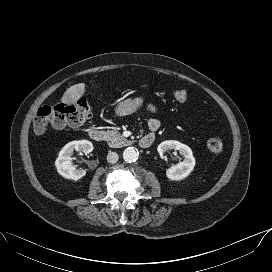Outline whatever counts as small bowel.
<instances>
[{
	"label": "small bowel",
	"instance_id": "c3829d8e",
	"mask_svg": "<svg viewBox=\"0 0 272 272\" xmlns=\"http://www.w3.org/2000/svg\"><path fill=\"white\" fill-rule=\"evenodd\" d=\"M148 110H149L151 113L154 114V113H156L157 108H156L155 105L150 104V105L148 106ZM160 125H161V123H160V120H159V119H157V118H155V117L150 118L149 121H148V128H149V130H150V133H149V134L154 135V133L160 128Z\"/></svg>",
	"mask_w": 272,
	"mask_h": 272
}]
</instances>
